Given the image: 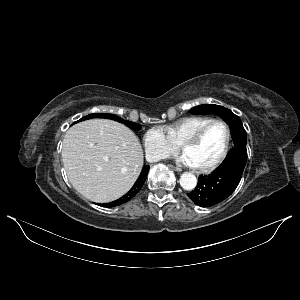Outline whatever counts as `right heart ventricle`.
<instances>
[{
	"label": "right heart ventricle",
	"mask_w": 300,
	"mask_h": 300,
	"mask_svg": "<svg viewBox=\"0 0 300 300\" xmlns=\"http://www.w3.org/2000/svg\"><path fill=\"white\" fill-rule=\"evenodd\" d=\"M211 120L213 119L210 117L202 116L185 117L176 122L163 126L162 129L165 131L173 144L180 146L197 129Z\"/></svg>",
	"instance_id": "right-heart-ventricle-1"
}]
</instances>
